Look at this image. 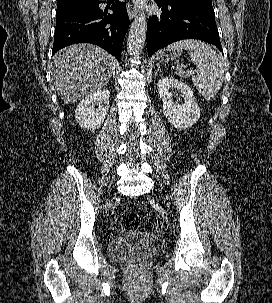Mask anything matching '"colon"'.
I'll return each mask as SVG.
<instances>
[{
	"label": "colon",
	"mask_w": 272,
	"mask_h": 303,
	"mask_svg": "<svg viewBox=\"0 0 272 303\" xmlns=\"http://www.w3.org/2000/svg\"><path fill=\"white\" fill-rule=\"evenodd\" d=\"M121 225L128 230L139 229L141 225L139 214L133 210L125 211L121 216Z\"/></svg>",
	"instance_id": "obj_1"
}]
</instances>
